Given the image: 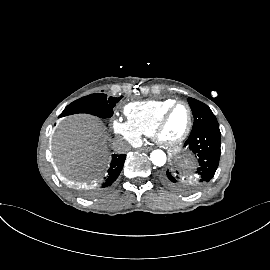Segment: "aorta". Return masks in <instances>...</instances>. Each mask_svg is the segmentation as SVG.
Wrapping results in <instances>:
<instances>
[{"instance_id": "762f6f07", "label": "aorta", "mask_w": 270, "mask_h": 270, "mask_svg": "<svg viewBox=\"0 0 270 270\" xmlns=\"http://www.w3.org/2000/svg\"><path fill=\"white\" fill-rule=\"evenodd\" d=\"M150 160L155 166L161 167L166 163V154L160 149L153 150L150 154Z\"/></svg>"}]
</instances>
